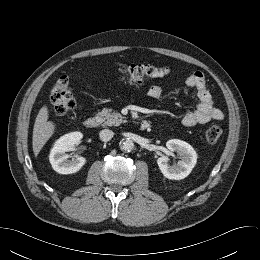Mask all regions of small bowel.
<instances>
[{
    "label": "small bowel",
    "instance_id": "obj_1",
    "mask_svg": "<svg viewBox=\"0 0 260 260\" xmlns=\"http://www.w3.org/2000/svg\"><path fill=\"white\" fill-rule=\"evenodd\" d=\"M170 72L169 68L163 67L155 71V77H163ZM190 88H195L198 93L197 108L187 112L182 118L185 127H193L198 124H205L212 120H222L224 113L214 106L210 91L202 72L196 71L190 74L185 81ZM163 94V89L159 85H153L148 90V96L152 99H159Z\"/></svg>",
    "mask_w": 260,
    "mask_h": 260
}]
</instances>
